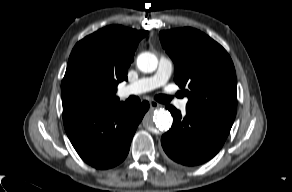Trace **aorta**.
Returning a JSON list of instances; mask_svg holds the SVG:
<instances>
[{
    "instance_id": "obj_1",
    "label": "aorta",
    "mask_w": 292,
    "mask_h": 192,
    "mask_svg": "<svg viewBox=\"0 0 292 192\" xmlns=\"http://www.w3.org/2000/svg\"><path fill=\"white\" fill-rule=\"evenodd\" d=\"M158 66L157 57L150 52H143L137 57V67L140 71L151 73L156 70ZM173 122V118L167 110L159 109L154 111L152 117L146 116L143 120L144 126L149 130L154 128L160 131H167Z\"/></svg>"
}]
</instances>
